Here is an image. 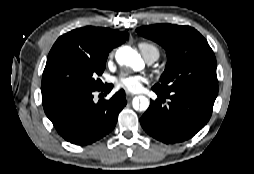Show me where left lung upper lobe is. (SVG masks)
Segmentation results:
<instances>
[{"label":"left lung upper lobe","mask_w":254,"mask_h":174,"mask_svg":"<svg viewBox=\"0 0 254 174\" xmlns=\"http://www.w3.org/2000/svg\"><path fill=\"white\" fill-rule=\"evenodd\" d=\"M136 32L166 50L168 62L154 89L171 93L194 88L218 93L215 56L197 30L189 26L157 24L137 28Z\"/></svg>","instance_id":"obj_1"}]
</instances>
